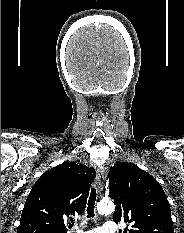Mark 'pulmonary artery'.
I'll use <instances>...</instances> for the list:
<instances>
[{
	"instance_id": "1",
	"label": "pulmonary artery",
	"mask_w": 184,
	"mask_h": 233,
	"mask_svg": "<svg viewBox=\"0 0 184 233\" xmlns=\"http://www.w3.org/2000/svg\"><path fill=\"white\" fill-rule=\"evenodd\" d=\"M77 233H117V226L113 221H106L101 227L93 228L88 231L76 230Z\"/></svg>"
}]
</instances>
